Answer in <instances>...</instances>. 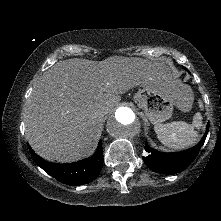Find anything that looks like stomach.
Segmentation results:
<instances>
[{"label": "stomach", "mask_w": 221, "mask_h": 221, "mask_svg": "<svg viewBox=\"0 0 221 221\" xmlns=\"http://www.w3.org/2000/svg\"><path fill=\"white\" fill-rule=\"evenodd\" d=\"M133 99L155 125L168 120L175 105L182 111H188L192 106L191 89L172 78L163 86L153 84L142 87Z\"/></svg>", "instance_id": "0dacf381"}]
</instances>
